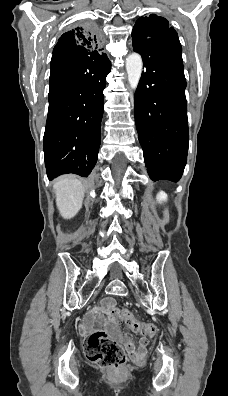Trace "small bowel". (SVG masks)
<instances>
[{
  "instance_id": "small-bowel-1",
  "label": "small bowel",
  "mask_w": 228,
  "mask_h": 396,
  "mask_svg": "<svg viewBox=\"0 0 228 396\" xmlns=\"http://www.w3.org/2000/svg\"><path fill=\"white\" fill-rule=\"evenodd\" d=\"M104 310H105V318L104 325L105 327L117 338L119 339L124 346L126 347L130 358L133 361H140L143 359L147 346V339L145 336L140 338L138 349L135 348L132 340L121 330L120 328V314L115 307V303L112 299H107L104 302ZM89 322H87L84 326V329H88Z\"/></svg>"
}]
</instances>
